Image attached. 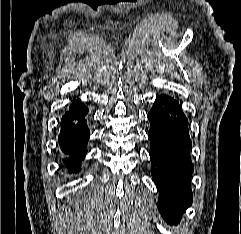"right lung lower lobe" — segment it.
<instances>
[{"instance_id": "1", "label": "right lung lower lobe", "mask_w": 241, "mask_h": 234, "mask_svg": "<svg viewBox=\"0 0 241 234\" xmlns=\"http://www.w3.org/2000/svg\"><path fill=\"white\" fill-rule=\"evenodd\" d=\"M88 108L80 101H75L61 120L59 144L66 155L63 160L70 172H77L87 152L85 149L89 138V129L85 116Z\"/></svg>"}]
</instances>
